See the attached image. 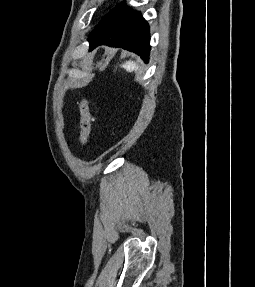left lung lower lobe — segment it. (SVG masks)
I'll list each match as a JSON object with an SVG mask.
<instances>
[{"mask_svg": "<svg viewBox=\"0 0 255 287\" xmlns=\"http://www.w3.org/2000/svg\"><path fill=\"white\" fill-rule=\"evenodd\" d=\"M90 50L98 45L121 47L140 55L148 62L150 53L149 25L141 13L121 2L109 11L90 33Z\"/></svg>", "mask_w": 255, "mask_h": 287, "instance_id": "0a47b994", "label": "left lung lower lobe"}]
</instances>
